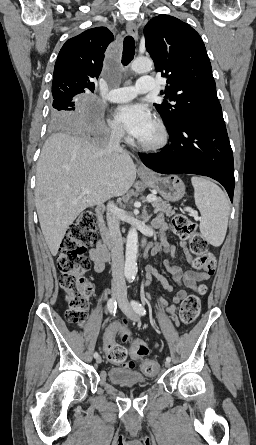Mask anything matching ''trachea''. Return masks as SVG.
<instances>
[{
    "mask_svg": "<svg viewBox=\"0 0 256 445\" xmlns=\"http://www.w3.org/2000/svg\"><path fill=\"white\" fill-rule=\"evenodd\" d=\"M135 55V41L133 37L126 36L123 42V55L122 64L127 66L134 58Z\"/></svg>",
    "mask_w": 256,
    "mask_h": 445,
    "instance_id": "obj_1",
    "label": "trachea"
}]
</instances>
